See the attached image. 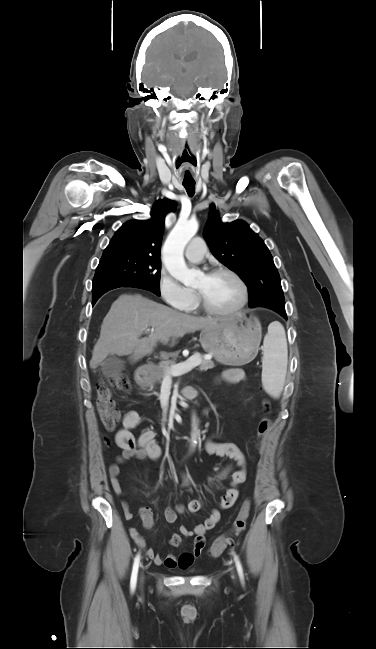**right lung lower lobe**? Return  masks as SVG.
I'll return each mask as SVG.
<instances>
[{"label": "right lung lower lobe", "instance_id": "98d812e1", "mask_svg": "<svg viewBox=\"0 0 376 649\" xmlns=\"http://www.w3.org/2000/svg\"><path fill=\"white\" fill-rule=\"evenodd\" d=\"M118 287L119 286H105V287H102L101 289L95 291L92 294V304L94 305L96 303V301L98 300V298H100L105 292H107L109 290H112L114 288H118ZM135 288H141V289L147 290L144 287H135Z\"/></svg>", "mask_w": 376, "mask_h": 649}]
</instances>
